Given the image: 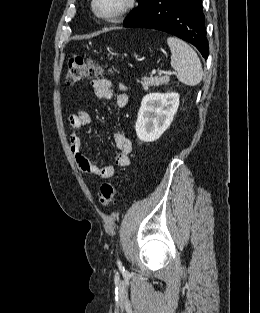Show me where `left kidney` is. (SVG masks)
Instances as JSON below:
<instances>
[{"instance_id":"left-kidney-1","label":"left kidney","mask_w":260,"mask_h":313,"mask_svg":"<svg viewBox=\"0 0 260 313\" xmlns=\"http://www.w3.org/2000/svg\"><path fill=\"white\" fill-rule=\"evenodd\" d=\"M179 106V94L150 93L141 102L135 130L143 142H153L170 126Z\"/></svg>"}]
</instances>
